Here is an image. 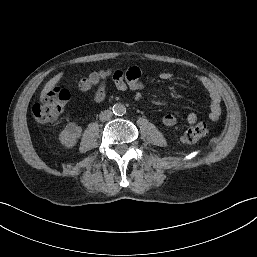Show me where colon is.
<instances>
[{
    "mask_svg": "<svg viewBox=\"0 0 257 257\" xmlns=\"http://www.w3.org/2000/svg\"><path fill=\"white\" fill-rule=\"evenodd\" d=\"M106 77L105 73H93L81 81L80 88L84 91L90 90L93 87H97V89L102 88L105 86ZM69 99L70 93L68 90L55 87L45 93L41 100L33 105V116L39 122L54 121L61 114ZM208 132V123L205 121L199 122L186 129L182 135V141L185 144L196 143L205 137Z\"/></svg>",
    "mask_w": 257,
    "mask_h": 257,
    "instance_id": "obj_1",
    "label": "colon"
}]
</instances>
